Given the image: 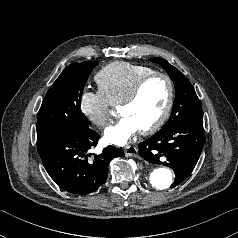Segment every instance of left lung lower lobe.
Masks as SVG:
<instances>
[{
	"label": "left lung lower lobe",
	"mask_w": 238,
	"mask_h": 238,
	"mask_svg": "<svg viewBox=\"0 0 238 238\" xmlns=\"http://www.w3.org/2000/svg\"><path fill=\"white\" fill-rule=\"evenodd\" d=\"M204 143L203 121H186L166 130L160 129L138 145V152L146 161L163 164L174 171L173 188L192 173Z\"/></svg>",
	"instance_id": "0a47b994"
}]
</instances>
